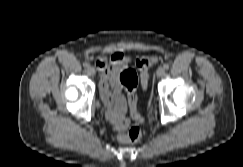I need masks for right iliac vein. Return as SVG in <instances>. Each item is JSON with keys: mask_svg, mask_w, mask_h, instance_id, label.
<instances>
[{"mask_svg": "<svg viewBox=\"0 0 243 167\" xmlns=\"http://www.w3.org/2000/svg\"><path fill=\"white\" fill-rule=\"evenodd\" d=\"M87 71H88V73H89L90 75H92V76H94V75L96 74L95 69H94L93 67H91V66L88 67Z\"/></svg>", "mask_w": 243, "mask_h": 167, "instance_id": "obj_1", "label": "right iliac vein"}]
</instances>
